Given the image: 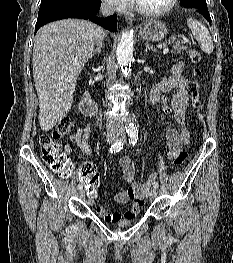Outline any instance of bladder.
<instances>
[{"label":"bladder","instance_id":"1","mask_svg":"<svg viewBox=\"0 0 233 263\" xmlns=\"http://www.w3.org/2000/svg\"><path fill=\"white\" fill-rule=\"evenodd\" d=\"M133 222V218H124L115 223V227L117 228H124L129 226Z\"/></svg>","mask_w":233,"mask_h":263}]
</instances>
